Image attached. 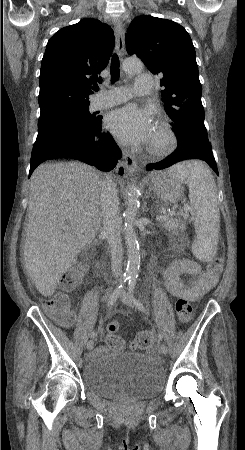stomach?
Returning a JSON list of instances; mask_svg holds the SVG:
<instances>
[{
    "instance_id": "obj_1",
    "label": "stomach",
    "mask_w": 245,
    "mask_h": 450,
    "mask_svg": "<svg viewBox=\"0 0 245 450\" xmlns=\"http://www.w3.org/2000/svg\"><path fill=\"white\" fill-rule=\"evenodd\" d=\"M151 187L154 195L168 204L178 202L184 194L183 182L168 171L155 173L151 178Z\"/></svg>"
}]
</instances>
